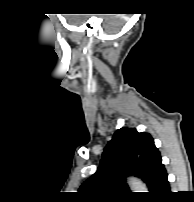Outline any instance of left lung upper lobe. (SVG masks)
Instances as JSON below:
<instances>
[{"mask_svg": "<svg viewBox=\"0 0 194 202\" xmlns=\"http://www.w3.org/2000/svg\"><path fill=\"white\" fill-rule=\"evenodd\" d=\"M162 168V158L151 135L123 127L108 142L97 172L81 185L79 194L93 202L128 198L131 192L125 178L134 174L147 184L151 195Z\"/></svg>", "mask_w": 194, "mask_h": 202, "instance_id": "left-lung-upper-lobe-1", "label": "left lung upper lobe"}]
</instances>
